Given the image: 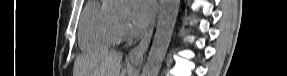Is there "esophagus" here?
<instances>
[{"instance_id": "obj_1", "label": "esophagus", "mask_w": 287, "mask_h": 76, "mask_svg": "<svg viewBox=\"0 0 287 76\" xmlns=\"http://www.w3.org/2000/svg\"><path fill=\"white\" fill-rule=\"evenodd\" d=\"M154 30V25L149 29V31L144 35L140 43L130 50L128 58L133 62H142L145 57V53L148 50L152 34Z\"/></svg>"}]
</instances>
